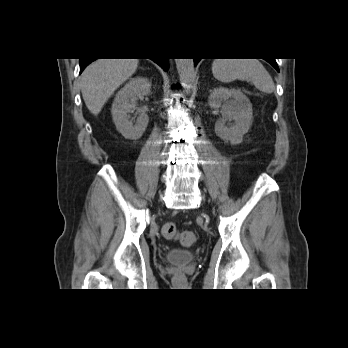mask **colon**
I'll list each match as a JSON object with an SVG mask.
<instances>
[{"label": "colon", "mask_w": 348, "mask_h": 348, "mask_svg": "<svg viewBox=\"0 0 348 348\" xmlns=\"http://www.w3.org/2000/svg\"><path fill=\"white\" fill-rule=\"evenodd\" d=\"M162 234L167 239H179L187 247L193 246L197 240L195 233L192 231H187L179 235L173 223H165L162 226Z\"/></svg>", "instance_id": "colon-1"}]
</instances>
